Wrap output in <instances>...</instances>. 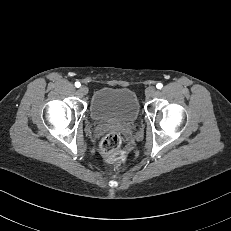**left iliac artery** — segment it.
Instances as JSON below:
<instances>
[{"label":"left iliac artery","instance_id":"1","mask_svg":"<svg viewBox=\"0 0 231 231\" xmlns=\"http://www.w3.org/2000/svg\"><path fill=\"white\" fill-rule=\"evenodd\" d=\"M156 87H157L158 89H161V88L163 87V85H162L161 83H158V84L156 85Z\"/></svg>","mask_w":231,"mask_h":231}]
</instances>
